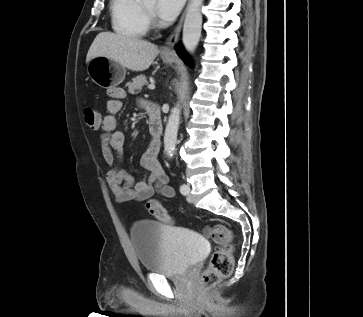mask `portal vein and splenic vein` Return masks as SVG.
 Here are the masks:
<instances>
[{
    "label": "portal vein and splenic vein",
    "mask_w": 363,
    "mask_h": 317,
    "mask_svg": "<svg viewBox=\"0 0 363 317\" xmlns=\"http://www.w3.org/2000/svg\"><path fill=\"white\" fill-rule=\"evenodd\" d=\"M148 88H149L150 90H154V89H155V85L150 84V85L148 86Z\"/></svg>",
    "instance_id": "1"
}]
</instances>
